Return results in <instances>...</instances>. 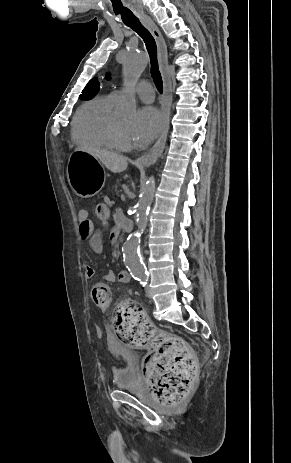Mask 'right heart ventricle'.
Segmentation results:
<instances>
[{
	"label": "right heart ventricle",
	"mask_w": 291,
	"mask_h": 463,
	"mask_svg": "<svg viewBox=\"0 0 291 463\" xmlns=\"http://www.w3.org/2000/svg\"><path fill=\"white\" fill-rule=\"evenodd\" d=\"M116 102L111 93L84 103L72 123L73 141L90 149H113L110 127Z\"/></svg>",
	"instance_id": "e07e8e85"
}]
</instances>
